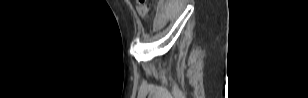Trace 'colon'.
Here are the masks:
<instances>
[{
  "label": "colon",
  "mask_w": 308,
  "mask_h": 98,
  "mask_svg": "<svg viewBox=\"0 0 308 98\" xmlns=\"http://www.w3.org/2000/svg\"><path fill=\"white\" fill-rule=\"evenodd\" d=\"M136 9L138 14L142 18H149L150 16V6L145 0H136Z\"/></svg>",
  "instance_id": "colon-1"
}]
</instances>
